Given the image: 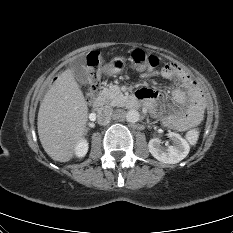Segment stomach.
Returning <instances> with one entry per match:
<instances>
[{
	"instance_id": "0dacf381",
	"label": "stomach",
	"mask_w": 233,
	"mask_h": 233,
	"mask_svg": "<svg viewBox=\"0 0 233 233\" xmlns=\"http://www.w3.org/2000/svg\"><path fill=\"white\" fill-rule=\"evenodd\" d=\"M125 60L121 57H115L110 61V63L107 65V70L111 74L120 73L125 68Z\"/></svg>"
}]
</instances>
